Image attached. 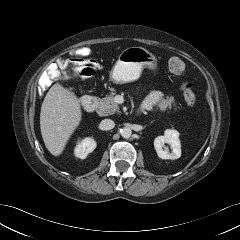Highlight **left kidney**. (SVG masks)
<instances>
[{
    "mask_svg": "<svg viewBox=\"0 0 240 240\" xmlns=\"http://www.w3.org/2000/svg\"><path fill=\"white\" fill-rule=\"evenodd\" d=\"M165 143L169 144L172 152H169V148L165 146ZM154 148L157 155L161 159H178L181 156V144L179 140V133L174 129H167L163 136H158L154 140Z\"/></svg>",
    "mask_w": 240,
    "mask_h": 240,
    "instance_id": "1",
    "label": "left kidney"
}]
</instances>
